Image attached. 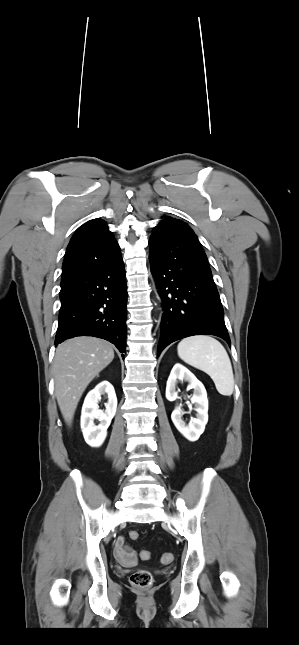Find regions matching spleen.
<instances>
[{
    "label": "spleen",
    "mask_w": 299,
    "mask_h": 645,
    "mask_svg": "<svg viewBox=\"0 0 299 645\" xmlns=\"http://www.w3.org/2000/svg\"><path fill=\"white\" fill-rule=\"evenodd\" d=\"M177 351L184 362L208 374L221 395H232V365L225 348L218 340L204 335L187 337L179 342Z\"/></svg>",
    "instance_id": "spleen-1"
}]
</instances>
